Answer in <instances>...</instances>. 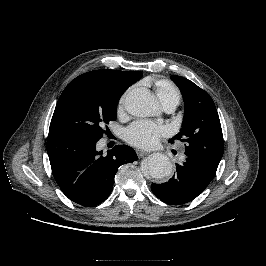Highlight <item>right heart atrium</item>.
<instances>
[{"instance_id":"obj_1","label":"right heart atrium","mask_w":266,"mask_h":266,"mask_svg":"<svg viewBox=\"0 0 266 266\" xmlns=\"http://www.w3.org/2000/svg\"><path fill=\"white\" fill-rule=\"evenodd\" d=\"M127 93L123 94L118 102V112H122L125 106V101H126Z\"/></svg>"}]
</instances>
